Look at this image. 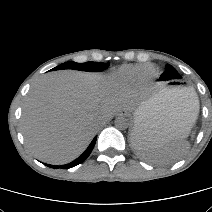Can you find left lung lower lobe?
I'll return each mask as SVG.
<instances>
[{"label":"left lung lower lobe","mask_w":212,"mask_h":212,"mask_svg":"<svg viewBox=\"0 0 212 212\" xmlns=\"http://www.w3.org/2000/svg\"><path fill=\"white\" fill-rule=\"evenodd\" d=\"M132 142H133L134 148L138 151L140 156H142L146 160H149L150 148L149 149L148 148H142L140 143H139V140L136 136H133Z\"/></svg>","instance_id":"obj_1"}]
</instances>
